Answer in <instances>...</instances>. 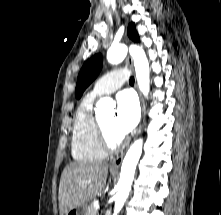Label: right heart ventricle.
Listing matches in <instances>:
<instances>
[{"label":"right heart ventricle","instance_id":"e07e8e85","mask_svg":"<svg viewBox=\"0 0 221 215\" xmlns=\"http://www.w3.org/2000/svg\"><path fill=\"white\" fill-rule=\"evenodd\" d=\"M94 100L93 95H86L75 113L71 153L79 162H96L106 157V152L101 147L97 136V120L93 113Z\"/></svg>","mask_w":221,"mask_h":215}]
</instances>
